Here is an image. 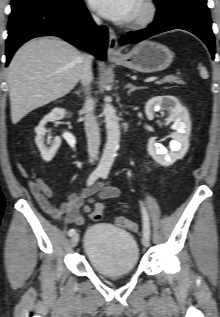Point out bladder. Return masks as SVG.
<instances>
[{
    "mask_svg": "<svg viewBox=\"0 0 220 317\" xmlns=\"http://www.w3.org/2000/svg\"><path fill=\"white\" fill-rule=\"evenodd\" d=\"M83 252L91 268L106 276L131 274L140 260L134 236L122 228L107 224L87 229Z\"/></svg>",
    "mask_w": 220,
    "mask_h": 317,
    "instance_id": "1",
    "label": "bladder"
}]
</instances>
